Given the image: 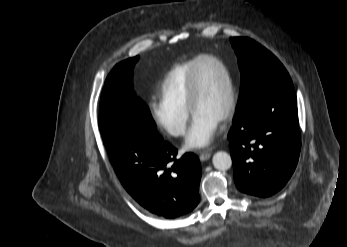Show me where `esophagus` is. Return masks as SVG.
Masks as SVG:
<instances>
[{"mask_svg":"<svg viewBox=\"0 0 347 247\" xmlns=\"http://www.w3.org/2000/svg\"><path fill=\"white\" fill-rule=\"evenodd\" d=\"M211 156V152L209 150H203L199 152V158L201 161H205L209 159Z\"/></svg>","mask_w":347,"mask_h":247,"instance_id":"1","label":"esophagus"}]
</instances>
